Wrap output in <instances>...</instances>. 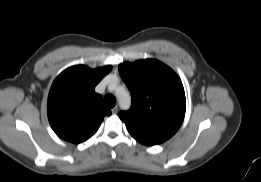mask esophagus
<instances>
[{
  "instance_id": "obj_1",
  "label": "esophagus",
  "mask_w": 261,
  "mask_h": 182,
  "mask_svg": "<svg viewBox=\"0 0 261 182\" xmlns=\"http://www.w3.org/2000/svg\"><path fill=\"white\" fill-rule=\"evenodd\" d=\"M111 111H112L113 114H116L117 111H118V106L113 107V108L111 109Z\"/></svg>"
}]
</instances>
